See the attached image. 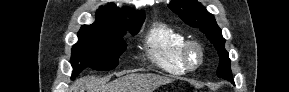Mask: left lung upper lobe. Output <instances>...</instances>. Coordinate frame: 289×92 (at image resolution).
<instances>
[{
    "instance_id": "1",
    "label": "left lung upper lobe",
    "mask_w": 289,
    "mask_h": 92,
    "mask_svg": "<svg viewBox=\"0 0 289 92\" xmlns=\"http://www.w3.org/2000/svg\"><path fill=\"white\" fill-rule=\"evenodd\" d=\"M168 7L186 24L199 28L207 36L220 56V63L217 69L218 77L233 81L230 59L224 47L225 39L214 19V15L210 14L197 0H172Z\"/></svg>"
}]
</instances>
